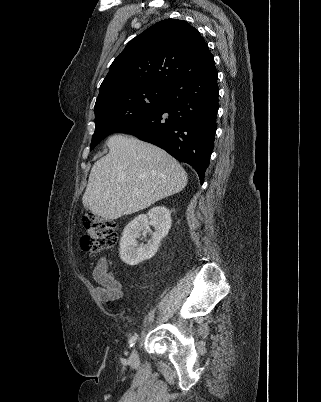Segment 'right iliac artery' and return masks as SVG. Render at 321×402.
I'll return each mask as SVG.
<instances>
[{"label": "right iliac artery", "mask_w": 321, "mask_h": 402, "mask_svg": "<svg viewBox=\"0 0 321 402\" xmlns=\"http://www.w3.org/2000/svg\"><path fill=\"white\" fill-rule=\"evenodd\" d=\"M137 339H138V335H134V336H132V337L130 338V340H129V345H130V347H132V346L135 344V342L137 341Z\"/></svg>", "instance_id": "1"}]
</instances>
